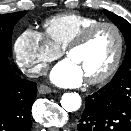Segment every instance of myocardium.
<instances>
[{"mask_svg":"<svg viewBox=\"0 0 131 131\" xmlns=\"http://www.w3.org/2000/svg\"><path fill=\"white\" fill-rule=\"evenodd\" d=\"M101 28H111L116 33L118 46L116 55L110 66L98 76L85 79V81L91 85H96L107 81L119 68L125 48V39L121 29L112 22H98L84 29L64 49V55L68 57L72 51L84 46L92 35Z\"/></svg>","mask_w":131,"mask_h":131,"instance_id":"1","label":"myocardium"}]
</instances>
